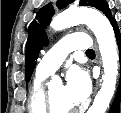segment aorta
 I'll return each instance as SVG.
<instances>
[{"mask_svg": "<svg viewBox=\"0 0 121 113\" xmlns=\"http://www.w3.org/2000/svg\"><path fill=\"white\" fill-rule=\"evenodd\" d=\"M80 23L86 24L95 34L104 68L101 89L87 113H105L113 97L118 74L119 57L114 31L102 13L90 8L68 9L54 17L50 26L59 31Z\"/></svg>", "mask_w": 121, "mask_h": 113, "instance_id": "obj_1", "label": "aorta"}]
</instances>
